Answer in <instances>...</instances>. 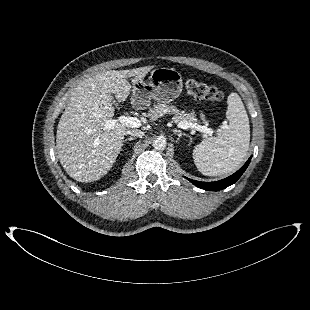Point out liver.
<instances>
[{
	"label": "liver",
	"mask_w": 310,
	"mask_h": 310,
	"mask_svg": "<svg viewBox=\"0 0 310 310\" xmlns=\"http://www.w3.org/2000/svg\"><path fill=\"white\" fill-rule=\"evenodd\" d=\"M151 68L105 71L77 85L56 134L58 158L70 177L79 182L96 181L112 168L130 128L118 122L105 127L115 112L111 95L126 100L132 88L127 78L142 79Z\"/></svg>",
	"instance_id": "6515ba94"
}]
</instances>
